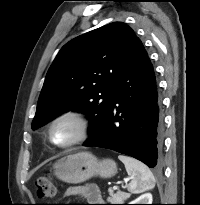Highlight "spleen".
Here are the masks:
<instances>
[{
  "mask_svg": "<svg viewBox=\"0 0 200 205\" xmlns=\"http://www.w3.org/2000/svg\"><path fill=\"white\" fill-rule=\"evenodd\" d=\"M118 159L124 163L128 175L131 176L132 180L127 186L129 192L138 194L154 188L155 178L148 166L124 155H119Z\"/></svg>",
  "mask_w": 200,
  "mask_h": 205,
  "instance_id": "obj_1",
  "label": "spleen"
}]
</instances>
